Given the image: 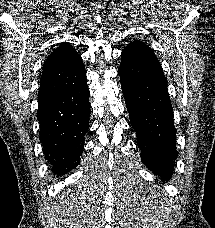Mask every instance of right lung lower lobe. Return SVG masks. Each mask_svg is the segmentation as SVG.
Returning <instances> with one entry per match:
<instances>
[{"label":"right lung lower lobe","instance_id":"98d812e1","mask_svg":"<svg viewBox=\"0 0 215 228\" xmlns=\"http://www.w3.org/2000/svg\"><path fill=\"white\" fill-rule=\"evenodd\" d=\"M89 96L85 74L78 80L67 81L60 95L39 105V138L45 159L56 175L66 174L79 164L89 128Z\"/></svg>","mask_w":215,"mask_h":228}]
</instances>
